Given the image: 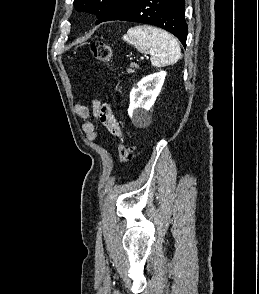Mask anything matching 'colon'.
I'll return each instance as SVG.
<instances>
[{"mask_svg": "<svg viewBox=\"0 0 259 294\" xmlns=\"http://www.w3.org/2000/svg\"><path fill=\"white\" fill-rule=\"evenodd\" d=\"M93 56L96 60L102 63H108L112 58L111 47L101 40L93 41L90 45ZM133 156V147L126 143L120 142L119 144V159L123 165H127Z\"/></svg>", "mask_w": 259, "mask_h": 294, "instance_id": "colon-1", "label": "colon"}]
</instances>
